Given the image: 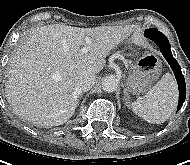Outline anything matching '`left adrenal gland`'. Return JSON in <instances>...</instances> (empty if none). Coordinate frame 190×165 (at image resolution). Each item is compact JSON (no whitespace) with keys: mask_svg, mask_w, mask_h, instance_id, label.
<instances>
[{"mask_svg":"<svg viewBox=\"0 0 190 165\" xmlns=\"http://www.w3.org/2000/svg\"><path fill=\"white\" fill-rule=\"evenodd\" d=\"M124 99H125V102H126L125 105L127 107H130V97H129L128 93H127L126 88L124 89Z\"/></svg>","mask_w":190,"mask_h":165,"instance_id":"a2214340","label":"left adrenal gland"}]
</instances>
